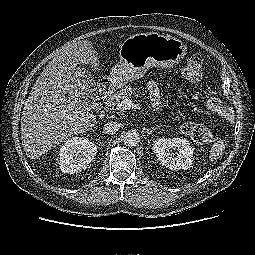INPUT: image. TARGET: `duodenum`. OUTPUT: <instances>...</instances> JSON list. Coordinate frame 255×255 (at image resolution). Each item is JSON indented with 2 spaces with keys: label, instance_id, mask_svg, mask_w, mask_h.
<instances>
[{
  "label": "duodenum",
  "instance_id": "obj_1",
  "mask_svg": "<svg viewBox=\"0 0 255 255\" xmlns=\"http://www.w3.org/2000/svg\"><path fill=\"white\" fill-rule=\"evenodd\" d=\"M113 86L109 80H101L98 84V93L102 98H105L112 92ZM104 114H102L103 116Z\"/></svg>",
  "mask_w": 255,
  "mask_h": 255
}]
</instances>
